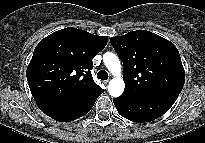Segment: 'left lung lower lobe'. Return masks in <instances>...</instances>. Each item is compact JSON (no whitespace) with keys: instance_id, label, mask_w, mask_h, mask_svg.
<instances>
[{"instance_id":"obj_1","label":"left lung lower lobe","mask_w":205,"mask_h":143,"mask_svg":"<svg viewBox=\"0 0 205 143\" xmlns=\"http://www.w3.org/2000/svg\"><path fill=\"white\" fill-rule=\"evenodd\" d=\"M179 94L169 93L142 99L121 95L113 102L118 113L137 123L149 122L166 113L174 104Z\"/></svg>"}]
</instances>
